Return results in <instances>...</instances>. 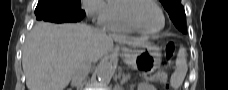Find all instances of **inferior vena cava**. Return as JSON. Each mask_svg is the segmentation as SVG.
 Segmentation results:
<instances>
[{"label": "inferior vena cava", "mask_w": 228, "mask_h": 90, "mask_svg": "<svg viewBox=\"0 0 228 90\" xmlns=\"http://www.w3.org/2000/svg\"><path fill=\"white\" fill-rule=\"evenodd\" d=\"M96 33H104L103 30L99 28H94ZM91 58L89 56H85L75 67L74 72L72 74V86H75L77 90H80L84 84L85 78L88 76L90 68H91Z\"/></svg>", "instance_id": "1"}]
</instances>
